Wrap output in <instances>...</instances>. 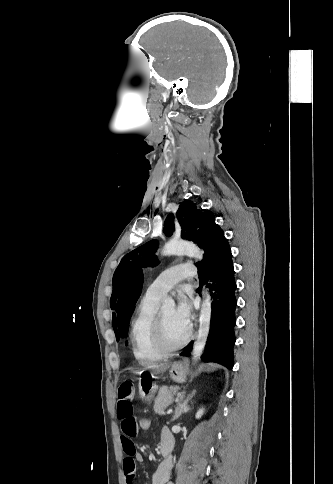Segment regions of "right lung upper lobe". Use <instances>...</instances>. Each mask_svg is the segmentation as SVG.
I'll return each mask as SVG.
<instances>
[{"mask_svg":"<svg viewBox=\"0 0 333 484\" xmlns=\"http://www.w3.org/2000/svg\"><path fill=\"white\" fill-rule=\"evenodd\" d=\"M142 285V270H133L125 281L116 308L118 314V328L120 334L123 332L125 325L129 322L131 318L135 303L141 293Z\"/></svg>","mask_w":333,"mask_h":484,"instance_id":"cb5924a9","label":"right lung upper lobe"}]
</instances>
